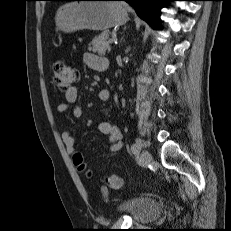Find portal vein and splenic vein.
<instances>
[{
	"label": "portal vein and splenic vein",
	"mask_w": 231,
	"mask_h": 231,
	"mask_svg": "<svg viewBox=\"0 0 231 231\" xmlns=\"http://www.w3.org/2000/svg\"><path fill=\"white\" fill-rule=\"evenodd\" d=\"M108 41H109V43H113V42L115 41V39H114V38H111V39H109Z\"/></svg>",
	"instance_id": "18ae733b"
}]
</instances>
